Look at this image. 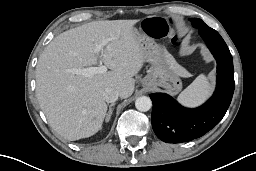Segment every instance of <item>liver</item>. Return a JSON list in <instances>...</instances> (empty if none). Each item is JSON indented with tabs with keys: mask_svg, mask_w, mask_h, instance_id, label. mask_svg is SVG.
Here are the masks:
<instances>
[{
	"mask_svg": "<svg viewBox=\"0 0 256 171\" xmlns=\"http://www.w3.org/2000/svg\"><path fill=\"white\" fill-rule=\"evenodd\" d=\"M138 20L94 21L67 30L44 49L36 66V95L54 131L75 141L97 133L106 116L103 92L118 91L121 98L132 95L135 76L143 66L144 54L134 33ZM105 44L102 55L96 45ZM100 59L111 71L92 77L73 74L74 68L96 65ZM175 72L184 70L175 63Z\"/></svg>",
	"mask_w": 256,
	"mask_h": 171,
	"instance_id": "obj_1",
	"label": "liver"
}]
</instances>
